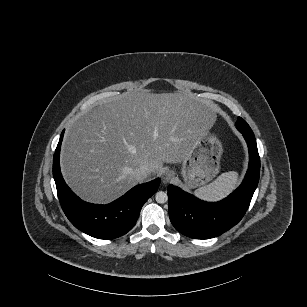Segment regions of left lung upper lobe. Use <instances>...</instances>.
<instances>
[{
	"instance_id": "5c2ea615",
	"label": "left lung upper lobe",
	"mask_w": 307,
	"mask_h": 307,
	"mask_svg": "<svg viewBox=\"0 0 307 307\" xmlns=\"http://www.w3.org/2000/svg\"><path fill=\"white\" fill-rule=\"evenodd\" d=\"M236 127L237 129H245L248 131H252L249 125L246 123V121L242 119L241 117H238V120L236 122Z\"/></svg>"
}]
</instances>
